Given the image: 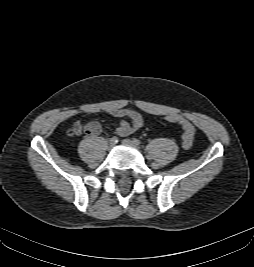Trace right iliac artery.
<instances>
[{
    "instance_id": "1",
    "label": "right iliac artery",
    "mask_w": 254,
    "mask_h": 267,
    "mask_svg": "<svg viewBox=\"0 0 254 267\" xmlns=\"http://www.w3.org/2000/svg\"><path fill=\"white\" fill-rule=\"evenodd\" d=\"M118 142V137L116 136H113L111 139H110V144H116Z\"/></svg>"
}]
</instances>
